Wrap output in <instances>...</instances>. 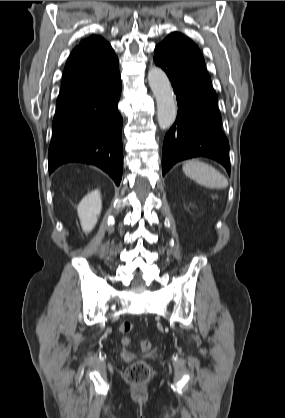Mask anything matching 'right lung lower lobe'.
I'll list each match as a JSON object with an SVG mask.
<instances>
[{"mask_svg":"<svg viewBox=\"0 0 285 418\" xmlns=\"http://www.w3.org/2000/svg\"><path fill=\"white\" fill-rule=\"evenodd\" d=\"M119 72L96 88L56 105L49 146V172L69 162L96 165L120 184L123 169L122 123L117 109Z\"/></svg>","mask_w":285,"mask_h":418,"instance_id":"right-lung-lower-lobe-1","label":"right lung lower lobe"}]
</instances>
